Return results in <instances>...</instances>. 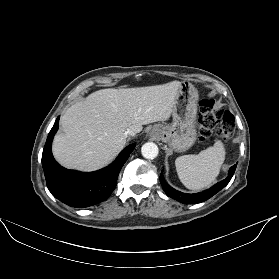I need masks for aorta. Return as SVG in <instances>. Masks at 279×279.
I'll use <instances>...</instances> for the list:
<instances>
[{"mask_svg": "<svg viewBox=\"0 0 279 279\" xmlns=\"http://www.w3.org/2000/svg\"><path fill=\"white\" fill-rule=\"evenodd\" d=\"M159 152L158 146L153 142L145 143L141 148V153L146 159H154Z\"/></svg>", "mask_w": 279, "mask_h": 279, "instance_id": "762f6f07", "label": "aorta"}]
</instances>
